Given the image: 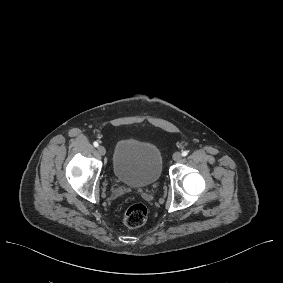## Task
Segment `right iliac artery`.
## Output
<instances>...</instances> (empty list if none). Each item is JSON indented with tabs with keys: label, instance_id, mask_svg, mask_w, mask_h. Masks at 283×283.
<instances>
[{
	"label": "right iliac artery",
	"instance_id": "82829eb1",
	"mask_svg": "<svg viewBox=\"0 0 283 283\" xmlns=\"http://www.w3.org/2000/svg\"><path fill=\"white\" fill-rule=\"evenodd\" d=\"M93 145H94L95 147H98L99 144H98V142L95 141V142L93 143Z\"/></svg>",
	"mask_w": 283,
	"mask_h": 283
}]
</instances>
